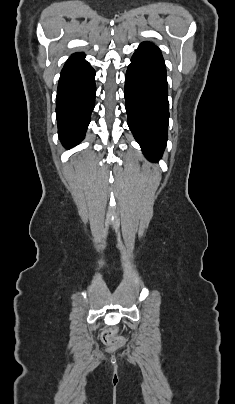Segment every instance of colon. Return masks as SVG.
<instances>
[{
	"label": "colon",
	"mask_w": 235,
	"mask_h": 404,
	"mask_svg": "<svg viewBox=\"0 0 235 404\" xmlns=\"http://www.w3.org/2000/svg\"><path fill=\"white\" fill-rule=\"evenodd\" d=\"M101 338H102V341L112 349L119 348L124 343L123 338L115 336V330L114 329L106 330L102 334Z\"/></svg>",
	"instance_id": "5ec220e1"
}]
</instances>
